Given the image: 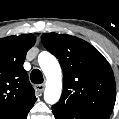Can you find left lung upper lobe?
I'll return each mask as SVG.
<instances>
[{
  "label": "left lung upper lobe",
  "instance_id": "left-lung-upper-lobe-1",
  "mask_svg": "<svg viewBox=\"0 0 119 119\" xmlns=\"http://www.w3.org/2000/svg\"><path fill=\"white\" fill-rule=\"evenodd\" d=\"M41 41L63 70L62 96L54 106L110 116L116 84L103 55L88 42L66 34L44 33Z\"/></svg>",
  "mask_w": 119,
  "mask_h": 119
}]
</instances>
